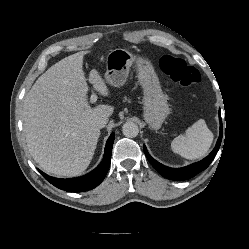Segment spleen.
<instances>
[{
    "mask_svg": "<svg viewBox=\"0 0 249 249\" xmlns=\"http://www.w3.org/2000/svg\"><path fill=\"white\" fill-rule=\"evenodd\" d=\"M213 142V133L205 120L200 119L171 143L172 150L186 159H198L206 155Z\"/></svg>",
    "mask_w": 249,
    "mask_h": 249,
    "instance_id": "spleen-1",
    "label": "spleen"
}]
</instances>
